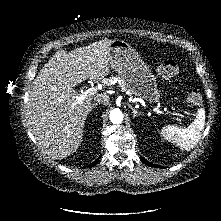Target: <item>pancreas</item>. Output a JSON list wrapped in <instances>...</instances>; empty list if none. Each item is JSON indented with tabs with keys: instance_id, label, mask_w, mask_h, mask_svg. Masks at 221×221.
Masks as SVG:
<instances>
[{
	"instance_id": "cf45deb5",
	"label": "pancreas",
	"mask_w": 221,
	"mask_h": 221,
	"mask_svg": "<svg viewBox=\"0 0 221 221\" xmlns=\"http://www.w3.org/2000/svg\"><path fill=\"white\" fill-rule=\"evenodd\" d=\"M115 79L117 80L119 87H120L122 90H126L123 81H122L121 79L117 78V77H114V76L110 77V78L107 80V84H108V85L113 84V81H114Z\"/></svg>"
}]
</instances>
